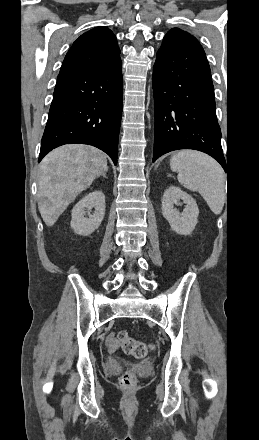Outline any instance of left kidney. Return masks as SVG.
I'll use <instances>...</instances> for the list:
<instances>
[{
    "instance_id": "1",
    "label": "left kidney",
    "mask_w": 259,
    "mask_h": 440,
    "mask_svg": "<svg viewBox=\"0 0 259 440\" xmlns=\"http://www.w3.org/2000/svg\"><path fill=\"white\" fill-rule=\"evenodd\" d=\"M186 204L180 213L174 205ZM162 215L169 222L173 231L180 235H190L198 222L199 209L193 197L179 187L170 186L162 197Z\"/></svg>"
}]
</instances>
